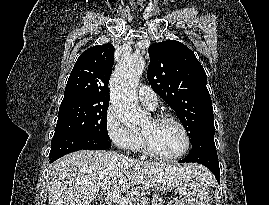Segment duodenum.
<instances>
[{
  "mask_svg": "<svg viewBox=\"0 0 269 205\" xmlns=\"http://www.w3.org/2000/svg\"><path fill=\"white\" fill-rule=\"evenodd\" d=\"M101 205H110L109 203H103V204H101Z\"/></svg>",
  "mask_w": 269,
  "mask_h": 205,
  "instance_id": "1",
  "label": "duodenum"
}]
</instances>
